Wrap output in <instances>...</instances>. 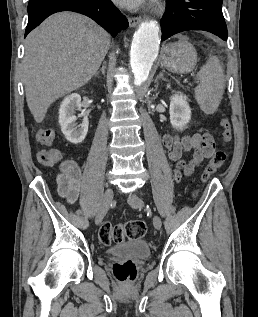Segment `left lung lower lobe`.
Returning a JSON list of instances; mask_svg holds the SVG:
<instances>
[{
  "mask_svg": "<svg viewBox=\"0 0 258 317\" xmlns=\"http://www.w3.org/2000/svg\"><path fill=\"white\" fill-rule=\"evenodd\" d=\"M161 19L162 37L187 30H204L227 41V26L222 13V0H166Z\"/></svg>",
  "mask_w": 258,
  "mask_h": 317,
  "instance_id": "left-lung-lower-lobe-1",
  "label": "left lung lower lobe"
}]
</instances>
